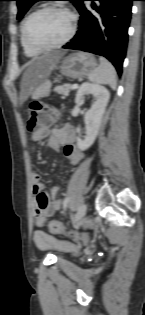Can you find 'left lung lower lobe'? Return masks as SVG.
I'll list each match as a JSON object with an SVG mask.
<instances>
[{
    "label": "left lung lower lobe",
    "mask_w": 145,
    "mask_h": 315,
    "mask_svg": "<svg viewBox=\"0 0 145 315\" xmlns=\"http://www.w3.org/2000/svg\"><path fill=\"white\" fill-rule=\"evenodd\" d=\"M79 0L76 8L81 17L79 30L65 49H76L106 57L119 75L128 44V28L133 0H90L93 10H88Z\"/></svg>",
    "instance_id": "1"
}]
</instances>
